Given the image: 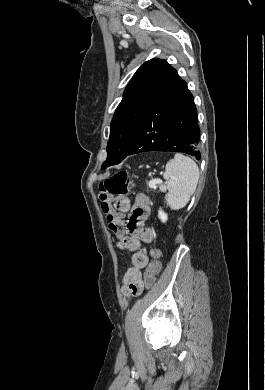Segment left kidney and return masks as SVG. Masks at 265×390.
Here are the masks:
<instances>
[{"mask_svg": "<svg viewBox=\"0 0 265 390\" xmlns=\"http://www.w3.org/2000/svg\"><path fill=\"white\" fill-rule=\"evenodd\" d=\"M158 217L160 218V220H161L162 222H166L167 219H168L167 214H166L162 209H160V210L158 211Z\"/></svg>", "mask_w": 265, "mask_h": 390, "instance_id": "1", "label": "left kidney"}]
</instances>
